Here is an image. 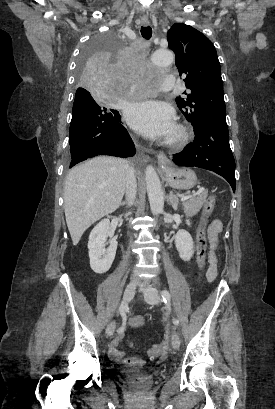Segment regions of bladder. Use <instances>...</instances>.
<instances>
[{
  "label": "bladder",
  "instance_id": "obj_1",
  "mask_svg": "<svg viewBox=\"0 0 275 409\" xmlns=\"http://www.w3.org/2000/svg\"><path fill=\"white\" fill-rule=\"evenodd\" d=\"M140 377H142V378L154 377V374L151 371L143 372V373L140 374Z\"/></svg>",
  "mask_w": 275,
  "mask_h": 409
}]
</instances>
